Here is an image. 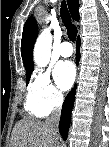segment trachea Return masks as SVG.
Segmentation results:
<instances>
[{
	"label": "trachea",
	"instance_id": "obj_1",
	"mask_svg": "<svg viewBox=\"0 0 109 147\" xmlns=\"http://www.w3.org/2000/svg\"><path fill=\"white\" fill-rule=\"evenodd\" d=\"M60 13L62 17V22L64 23V26L67 28V35L69 39L72 42H74L77 36V28L71 22L70 14L66 7L65 1L62 2Z\"/></svg>",
	"mask_w": 109,
	"mask_h": 147
}]
</instances>
